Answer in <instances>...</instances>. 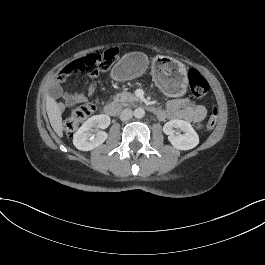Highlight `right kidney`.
Returning <instances> with one entry per match:
<instances>
[{
	"mask_svg": "<svg viewBox=\"0 0 265 265\" xmlns=\"http://www.w3.org/2000/svg\"><path fill=\"white\" fill-rule=\"evenodd\" d=\"M109 124L110 117L108 115L92 116L74 134V147L84 152L98 148L108 138V134L100 129H106Z\"/></svg>",
	"mask_w": 265,
	"mask_h": 265,
	"instance_id": "ca27d5eb",
	"label": "right kidney"
}]
</instances>
